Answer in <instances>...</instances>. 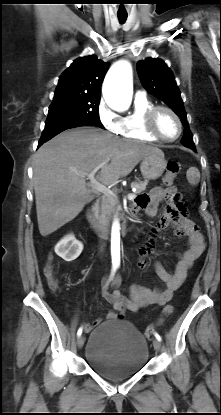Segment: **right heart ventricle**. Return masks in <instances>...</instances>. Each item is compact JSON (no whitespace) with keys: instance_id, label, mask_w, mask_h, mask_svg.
I'll return each instance as SVG.
<instances>
[{"instance_id":"right-heart-ventricle-1","label":"right heart ventricle","mask_w":221,"mask_h":415,"mask_svg":"<svg viewBox=\"0 0 221 415\" xmlns=\"http://www.w3.org/2000/svg\"><path fill=\"white\" fill-rule=\"evenodd\" d=\"M153 106L154 103L146 96L135 97L133 111L121 117L118 134L125 138L156 142L158 139L150 135L144 125L145 114Z\"/></svg>"}]
</instances>
